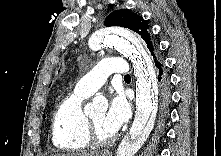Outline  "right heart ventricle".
I'll use <instances>...</instances> for the list:
<instances>
[{"label":"right heart ventricle","mask_w":221,"mask_h":156,"mask_svg":"<svg viewBox=\"0 0 221 156\" xmlns=\"http://www.w3.org/2000/svg\"><path fill=\"white\" fill-rule=\"evenodd\" d=\"M87 95L74 90L57 106L52 119V142L62 151L85 149L89 142L85 135V114L82 106Z\"/></svg>","instance_id":"obj_1"}]
</instances>
